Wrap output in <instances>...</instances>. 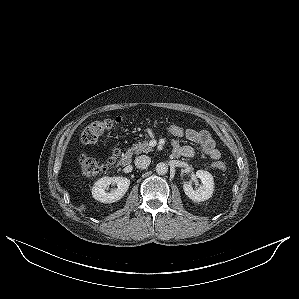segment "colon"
<instances>
[{
	"mask_svg": "<svg viewBox=\"0 0 299 299\" xmlns=\"http://www.w3.org/2000/svg\"><path fill=\"white\" fill-rule=\"evenodd\" d=\"M126 119L124 117H116L113 119H105L101 121H94L90 123L82 132L81 140L84 144L93 145L98 143L100 137L104 132L113 129L119 125L125 123ZM165 130L175 138H182L186 135V128L175 124L169 123L165 125ZM118 155V151H114V156ZM79 166L82 175L86 177L96 176L103 173L107 169V165L100 163L97 159L88 156L81 155L79 158ZM215 168L218 170H224L225 165L222 162L215 164Z\"/></svg>",
	"mask_w": 299,
	"mask_h": 299,
	"instance_id": "colon-1",
	"label": "colon"
}]
</instances>
